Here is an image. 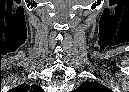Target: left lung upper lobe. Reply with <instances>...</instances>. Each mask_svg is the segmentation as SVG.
Returning <instances> with one entry per match:
<instances>
[{"label": "left lung upper lobe", "instance_id": "left-lung-upper-lobe-1", "mask_svg": "<svg viewBox=\"0 0 129 92\" xmlns=\"http://www.w3.org/2000/svg\"><path fill=\"white\" fill-rule=\"evenodd\" d=\"M76 92H111L107 87L97 82H84L76 90Z\"/></svg>", "mask_w": 129, "mask_h": 92}]
</instances>
